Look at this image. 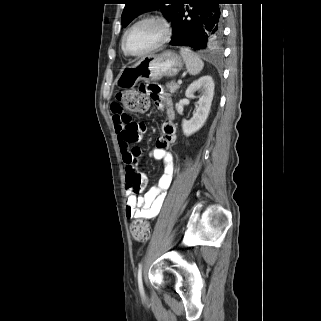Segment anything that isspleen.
I'll return each instance as SVG.
<instances>
[{
	"instance_id": "1",
	"label": "spleen",
	"mask_w": 321,
	"mask_h": 321,
	"mask_svg": "<svg viewBox=\"0 0 321 321\" xmlns=\"http://www.w3.org/2000/svg\"><path fill=\"white\" fill-rule=\"evenodd\" d=\"M180 54L186 64V68L189 74L196 75L203 69V61L196 53L191 51L189 48L181 47Z\"/></svg>"
}]
</instances>
